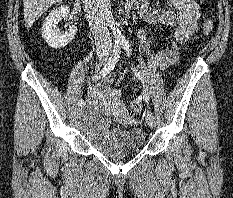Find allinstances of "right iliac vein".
Returning a JSON list of instances; mask_svg holds the SVG:
<instances>
[{
	"label": "right iliac vein",
	"mask_w": 233,
	"mask_h": 198,
	"mask_svg": "<svg viewBox=\"0 0 233 198\" xmlns=\"http://www.w3.org/2000/svg\"><path fill=\"white\" fill-rule=\"evenodd\" d=\"M98 57H99V64L100 65H102V64H104L106 61H107V59H108V57H109V54L107 53V52H100L99 54H98ZM82 108L83 107H78V111H81L82 110Z\"/></svg>",
	"instance_id": "right-iliac-vein-1"
}]
</instances>
